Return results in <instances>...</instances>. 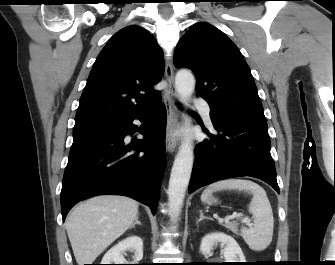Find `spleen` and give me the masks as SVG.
<instances>
[{
    "mask_svg": "<svg viewBox=\"0 0 335 265\" xmlns=\"http://www.w3.org/2000/svg\"><path fill=\"white\" fill-rule=\"evenodd\" d=\"M227 189L246 191L253 195L249 212L253 215L254 223L248 228H241V235L250 249L265 250L272 241L274 228L273 212L265 190L250 180L227 179L209 185L203 191L201 200L206 202L213 192Z\"/></svg>",
    "mask_w": 335,
    "mask_h": 265,
    "instance_id": "obj_1",
    "label": "spleen"
}]
</instances>
